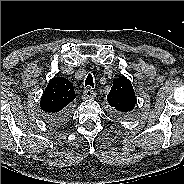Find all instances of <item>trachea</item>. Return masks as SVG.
<instances>
[{"label":"trachea","mask_w":184,"mask_h":184,"mask_svg":"<svg viewBox=\"0 0 184 184\" xmlns=\"http://www.w3.org/2000/svg\"><path fill=\"white\" fill-rule=\"evenodd\" d=\"M85 86L94 87L93 77L91 74H88L86 80H85Z\"/></svg>","instance_id":"1"}]
</instances>
